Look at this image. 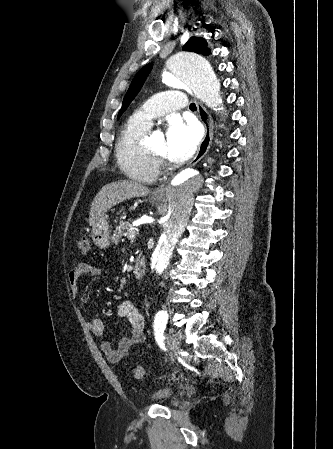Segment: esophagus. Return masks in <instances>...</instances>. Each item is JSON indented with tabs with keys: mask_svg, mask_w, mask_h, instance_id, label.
Returning a JSON list of instances; mask_svg holds the SVG:
<instances>
[{
	"mask_svg": "<svg viewBox=\"0 0 333 449\" xmlns=\"http://www.w3.org/2000/svg\"><path fill=\"white\" fill-rule=\"evenodd\" d=\"M198 114L201 122L204 125L205 133L200 143L199 149L195 157L190 162L191 165L197 164L209 150L214 136V125L210 114L201 103H197ZM166 190V185L162 184L154 189L153 195L156 197H163Z\"/></svg>",
	"mask_w": 333,
	"mask_h": 449,
	"instance_id": "34e87169",
	"label": "esophagus"
}]
</instances>
